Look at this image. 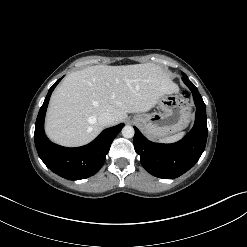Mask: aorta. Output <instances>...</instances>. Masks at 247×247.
<instances>
[{"mask_svg":"<svg viewBox=\"0 0 247 247\" xmlns=\"http://www.w3.org/2000/svg\"><path fill=\"white\" fill-rule=\"evenodd\" d=\"M135 134L134 128L132 126H124L122 129V135L125 138H132Z\"/></svg>","mask_w":247,"mask_h":247,"instance_id":"762f6f07","label":"aorta"}]
</instances>
